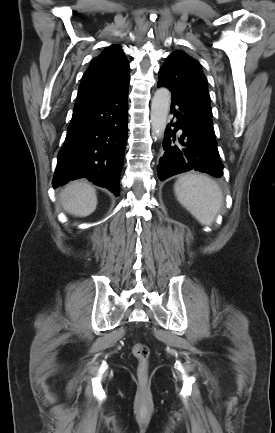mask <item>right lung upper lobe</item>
Returning a JSON list of instances; mask_svg holds the SVG:
<instances>
[{
  "mask_svg": "<svg viewBox=\"0 0 275 433\" xmlns=\"http://www.w3.org/2000/svg\"><path fill=\"white\" fill-rule=\"evenodd\" d=\"M128 84L129 63L120 45H112L92 60L80 83L76 103L100 94L122 92Z\"/></svg>",
  "mask_w": 275,
  "mask_h": 433,
  "instance_id": "right-lung-upper-lobe-1",
  "label": "right lung upper lobe"
}]
</instances>
